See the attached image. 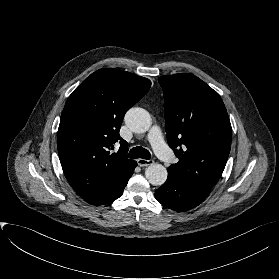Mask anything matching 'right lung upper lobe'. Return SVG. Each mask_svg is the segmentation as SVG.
<instances>
[{"label":"right lung upper lobe","instance_id":"obj_1","mask_svg":"<svg viewBox=\"0 0 279 279\" xmlns=\"http://www.w3.org/2000/svg\"><path fill=\"white\" fill-rule=\"evenodd\" d=\"M150 86L147 78L105 68L87 77L67 99L58 129L59 159L70 185L89 204L114 193L137 166L127 158L119 131L125 113ZM118 141L119 151L110 154Z\"/></svg>","mask_w":279,"mask_h":279}]
</instances>
